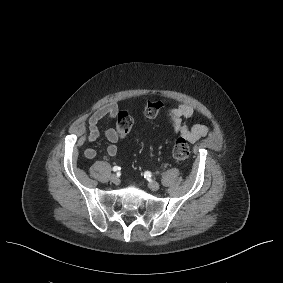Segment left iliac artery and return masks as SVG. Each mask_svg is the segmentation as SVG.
<instances>
[{"label":"left iliac artery","mask_w":283,"mask_h":283,"mask_svg":"<svg viewBox=\"0 0 283 283\" xmlns=\"http://www.w3.org/2000/svg\"><path fill=\"white\" fill-rule=\"evenodd\" d=\"M148 175V177H151V173L149 171L145 172V176Z\"/></svg>","instance_id":"obj_1"}]
</instances>
